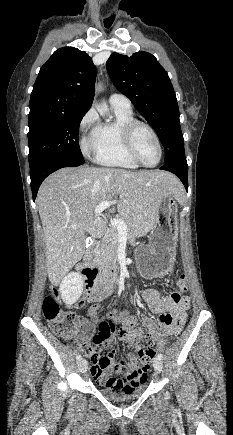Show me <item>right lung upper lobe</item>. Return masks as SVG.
<instances>
[{
	"mask_svg": "<svg viewBox=\"0 0 233 435\" xmlns=\"http://www.w3.org/2000/svg\"><path fill=\"white\" fill-rule=\"evenodd\" d=\"M96 67L74 47L56 50L41 67L29 102V117L40 114H85L92 105Z\"/></svg>",
	"mask_w": 233,
	"mask_h": 435,
	"instance_id": "cb5924a9",
	"label": "right lung upper lobe"
}]
</instances>
